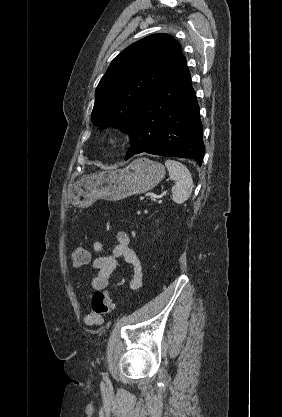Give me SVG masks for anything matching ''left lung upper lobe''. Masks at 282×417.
<instances>
[{
	"label": "left lung upper lobe",
	"instance_id": "obj_1",
	"mask_svg": "<svg viewBox=\"0 0 282 417\" xmlns=\"http://www.w3.org/2000/svg\"><path fill=\"white\" fill-rule=\"evenodd\" d=\"M182 56L180 44L165 33L150 35L124 49L98 84L93 124L128 133L138 108Z\"/></svg>",
	"mask_w": 282,
	"mask_h": 417
}]
</instances>
